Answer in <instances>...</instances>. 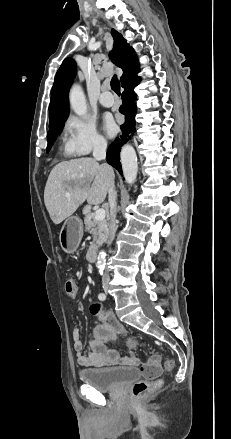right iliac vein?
Masks as SVG:
<instances>
[{
    "mask_svg": "<svg viewBox=\"0 0 231 439\" xmlns=\"http://www.w3.org/2000/svg\"><path fill=\"white\" fill-rule=\"evenodd\" d=\"M104 290H105V292L108 290V285L104 286Z\"/></svg>",
    "mask_w": 231,
    "mask_h": 439,
    "instance_id": "1",
    "label": "right iliac vein"
}]
</instances>
